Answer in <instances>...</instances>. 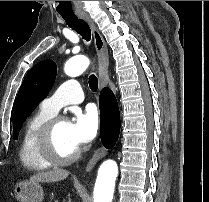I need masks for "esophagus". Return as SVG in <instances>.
Masks as SVG:
<instances>
[{"label": "esophagus", "instance_id": "esophagus-1", "mask_svg": "<svg viewBox=\"0 0 209 202\" xmlns=\"http://www.w3.org/2000/svg\"><path fill=\"white\" fill-rule=\"evenodd\" d=\"M78 17L85 20L93 34L94 38V45L97 53L98 58V65H99V86L103 87L107 83L108 77V49L107 45L98 31L95 23L93 20L86 14L85 12L78 13ZM107 154V150L104 147H99L89 160L86 166V172H90L96 163L103 158Z\"/></svg>", "mask_w": 209, "mask_h": 202}]
</instances>
